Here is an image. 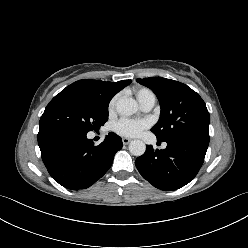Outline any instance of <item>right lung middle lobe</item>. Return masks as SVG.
<instances>
[{
	"instance_id": "obj_1",
	"label": "right lung middle lobe",
	"mask_w": 248,
	"mask_h": 248,
	"mask_svg": "<svg viewBox=\"0 0 248 248\" xmlns=\"http://www.w3.org/2000/svg\"><path fill=\"white\" fill-rule=\"evenodd\" d=\"M108 120V106H99L73 93L60 92L45 108L39 130L61 129L87 134Z\"/></svg>"
}]
</instances>
